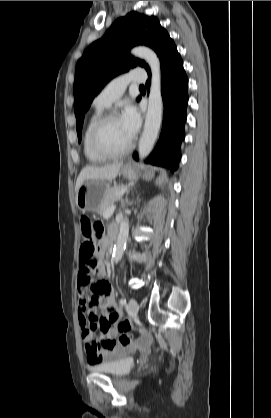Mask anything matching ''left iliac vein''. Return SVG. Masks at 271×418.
<instances>
[{
	"label": "left iliac vein",
	"instance_id": "1",
	"mask_svg": "<svg viewBox=\"0 0 271 418\" xmlns=\"http://www.w3.org/2000/svg\"><path fill=\"white\" fill-rule=\"evenodd\" d=\"M129 310L132 316L136 315L139 311V305L134 298H131L128 303Z\"/></svg>",
	"mask_w": 271,
	"mask_h": 418
}]
</instances>
